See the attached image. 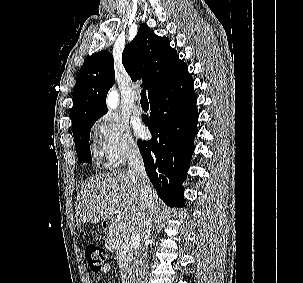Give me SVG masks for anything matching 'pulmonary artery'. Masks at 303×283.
Here are the masks:
<instances>
[{"instance_id": "e3ab8cb5", "label": "pulmonary artery", "mask_w": 303, "mask_h": 283, "mask_svg": "<svg viewBox=\"0 0 303 283\" xmlns=\"http://www.w3.org/2000/svg\"><path fill=\"white\" fill-rule=\"evenodd\" d=\"M134 99H135V102H134V104H133V106H132V111H133V113H134V114H137V115L142 114V112H143V107H142V105L140 104V96H139L138 93L135 94Z\"/></svg>"}]
</instances>
